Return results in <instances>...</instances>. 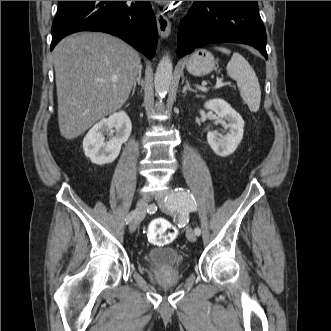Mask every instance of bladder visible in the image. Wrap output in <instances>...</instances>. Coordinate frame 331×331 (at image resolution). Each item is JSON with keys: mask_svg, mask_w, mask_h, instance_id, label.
Listing matches in <instances>:
<instances>
[{"mask_svg": "<svg viewBox=\"0 0 331 331\" xmlns=\"http://www.w3.org/2000/svg\"><path fill=\"white\" fill-rule=\"evenodd\" d=\"M183 261L182 254L172 247L155 248L145 255V263L152 270L180 269Z\"/></svg>", "mask_w": 331, "mask_h": 331, "instance_id": "bladder-1", "label": "bladder"}]
</instances>
